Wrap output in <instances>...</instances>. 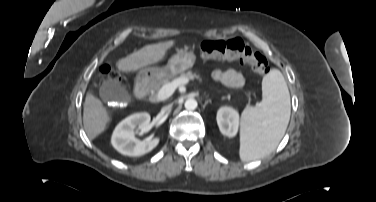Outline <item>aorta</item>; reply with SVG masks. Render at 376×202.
I'll use <instances>...</instances> for the list:
<instances>
[{
  "mask_svg": "<svg viewBox=\"0 0 376 202\" xmlns=\"http://www.w3.org/2000/svg\"><path fill=\"white\" fill-rule=\"evenodd\" d=\"M184 106L187 110H194L197 108L198 103L194 98H189L185 101Z\"/></svg>",
  "mask_w": 376,
  "mask_h": 202,
  "instance_id": "aorta-1",
  "label": "aorta"
}]
</instances>
